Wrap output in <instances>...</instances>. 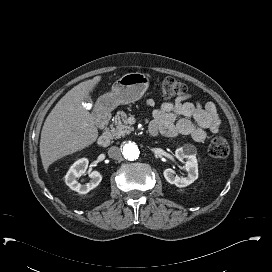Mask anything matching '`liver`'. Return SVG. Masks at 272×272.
Listing matches in <instances>:
<instances>
[{
    "label": "liver",
    "mask_w": 272,
    "mask_h": 272,
    "mask_svg": "<svg viewBox=\"0 0 272 272\" xmlns=\"http://www.w3.org/2000/svg\"><path fill=\"white\" fill-rule=\"evenodd\" d=\"M101 76L79 83L68 91L47 116L40 139L45 170L58 159L93 144L98 137L94 117L82 105Z\"/></svg>",
    "instance_id": "liver-1"
}]
</instances>
